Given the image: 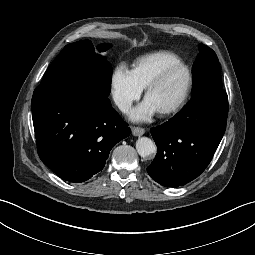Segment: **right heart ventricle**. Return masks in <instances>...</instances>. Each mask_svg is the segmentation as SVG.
<instances>
[{"label": "right heart ventricle", "mask_w": 255, "mask_h": 255, "mask_svg": "<svg viewBox=\"0 0 255 255\" xmlns=\"http://www.w3.org/2000/svg\"><path fill=\"white\" fill-rule=\"evenodd\" d=\"M180 61L173 52L160 50L139 58L132 69L138 83L145 88L148 83L167 65Z\"/></svg>", "instance_id": "obj_1"}]
</instances>
